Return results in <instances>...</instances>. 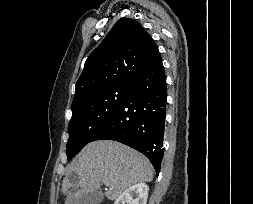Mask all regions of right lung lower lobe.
Returning a JSON list of instances; mask_svg holds the SVG:
<instances>
[{
  "label": "right lung lower lobe",
  "mask_w": 253,
  "mask_h": 204,
  "mask_svg": "<svg viewBox=\"0 0 253 204\" xmlns=\"http://www.w3.org/2000/svg\"><path fill=\"white\" fill-rule=\"evenodd\" d=\"M166 76L160 53L130 84L128 93L94 140L128 145L148 157L159 174L166 116Z\"/></svg>",
  "instance_id": "98d812e1"
}]
</instances>
